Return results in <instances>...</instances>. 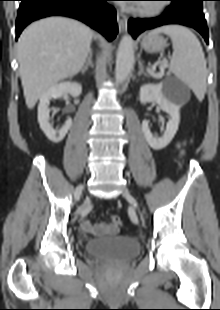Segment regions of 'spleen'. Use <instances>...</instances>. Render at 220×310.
<instances>
[{
	"instance_id": "3e777b00",
	"label": "spleen",
	"mask_w": 220,
	"mask_h": 310,
	"mask_svg": "<svg viewBox=\"0 0 220 310\" xmlns=\"http://www.w3.org/2000/svg\"><path fill=\"white\" fill-rule=\"evenodd\" d=\"M165 33L173 44L170 70L186 83L196 97L202 101L206 92L207 69L200 41L188 28L166 25L152 30L149 35Z\"/></svg>"
}]
</instances>
